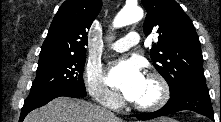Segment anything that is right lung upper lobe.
Segmentation results:
<instances>
[{
  "label": "right lung upper lobe",
  "mask_w": 221,
  "mask_h": 122,
  "mask_svg": "<svg viewBox=\"0 0 221 122\" xmlns=\"http://www.w3.org/2000/svg\"><path fill=\"white\" fill-rule=\"evenodd\" d=\"M101 6V0H66L51 23L39 54L40 59L85 56L87 30Z\"/></svg>",
  "instance_id": "right-lung-upper-lobe-1"
}]
</instances>
